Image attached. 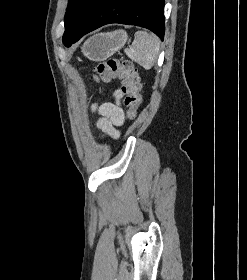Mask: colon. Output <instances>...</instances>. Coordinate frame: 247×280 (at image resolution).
<instances>
[{
  "label": "colon",
  "instance_id": "obj_1",
  "mask_svg": "<svg viewBox=\"0 0 247 280\" xmlns=\"http://www.w3.org/2000/svg\"><path fill=\"white\" fill-rule=\"evenodd\" d=\"M95 72L97 78L102 81L112 79L121 81L122 91L125 94L124 104L127 107V116L133 120L142 103V84L132 62L111 58L98 65Z\"/></svg>",
  "mask_w": 247,
  "mask_h": 280
}]
</instances>
